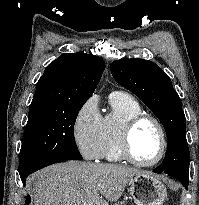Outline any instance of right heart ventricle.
I'll return each instance as SVG.
<instances>
[{"instance_id":"right-heart-ventricle-1","label":"right heart ventricle","mask_w":199,"mask_h":205,"mask_svg":"<svg viewBox=\"0 0 199 205\" xmlns=\"http://www.w3.org/2000/svg\"><path fill=\"white\" fill-rule=\"evenodd\" d=\"M110 111L102 118V158L112 163L124 159L119 150V136L123 124L143 112L137 100L125 93H113L109 98Z\"/></svg>"}]
</instances>
